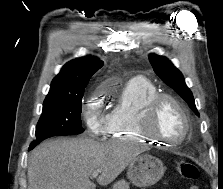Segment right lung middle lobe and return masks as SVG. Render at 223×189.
Masks as SVG:
<instances>
[{
	"instance_id": "dd1d6c3e",
	"label": "right lung middle lobe",
	"mask_w": 223,
	"mask_h": 189,
	"mask_svg": "<svg viewBox=\"0 0 223 189\" xmlns=\"http://www.w3.org/2000/svg\"><path fill=\"white\" fill-rule=\"evenodd\" d=\"M83 91L84 89L73 94L47 95L36 127V140L75 135L84 131L80 119Z\"/></svg>"
}]
</instances>
